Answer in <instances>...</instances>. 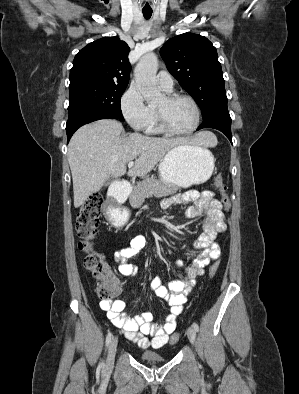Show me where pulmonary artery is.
<instances>
[{"instance_id":"pulmonary-artery-1","label":"pulmonary artery","mask_w":299,"mask_h":394,"mask_svg":"<svg viewBox=\"0 0 299 394\" xmlns=\"http://www.w3.org/2000/svg\"><path fill=\"white\" fill-rule=\"evenodd\" d=\"M158 84L164 91H172L173 89V78L167 71H161L158 74Z\"/></svg>"}]
</instances>
